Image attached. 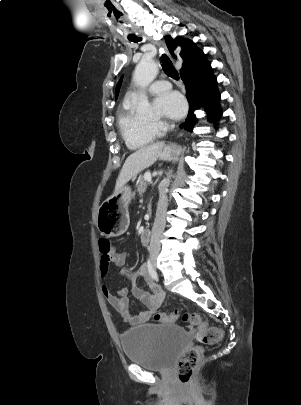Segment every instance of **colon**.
<instances>
[{"instance_id": "1", "label": "colon", "mask_w": 301, "mask_h": 405, "mask_svg": "<svg viewBox=\"0 0 301 405\" xmlns=\"http://www.w3.org/2000/svg\"><path fill=\"white\" fill-rule=\"evenodd\" d=\"M99 249L105 256H108L112 249L111 243L107 240L105 235L100 237ZM154 319L163 324L173 323L180 319L196 327V339L201 345H215L219 343L223 337V333L220 329L208 327L203 318L197 313L175 311L168 314L160 312L154 315ZM201 345L188 349L178 363V377L183 384L190 383L193 373L202 359L203 348Z\"/></svg>"}]
</instances>
